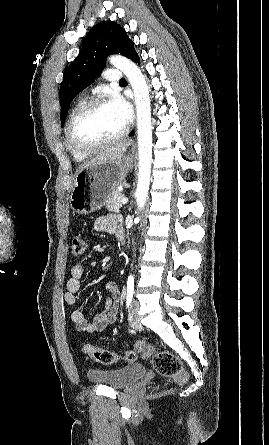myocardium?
Listing matches in <instances>:
<instances>
[{
    "mask_svg": "<svg viewBox=\"0 0 269 445\" xmlns=\"http://www.w3.org/2000/svg\"><path fill=\"white\" fill-rule=\"evenodd\" d=\"M108 102H109V100L106 97H95V98H92V99L86 101L85 103H83L73 113V115L69 119V122H68L67 128H66V141L72 150H74L75 152H77L79 154H84V155L93 154L108 145H111V144H114V143L120 141L127 135L128 131H129L128 126H126L116 136L106 139V140H103V141L98 142L93 145H84L75 139L74 129H75L77 122L91 110L95 109L96 107H98L100 105L108 103Z\"/></svg>",
    "mask_w": 269,
    "mask_h": 445,
    "instance_id": "obj_1",
    "label": "myocardium"
}]
</instances>
